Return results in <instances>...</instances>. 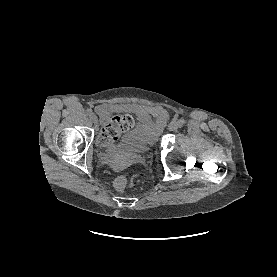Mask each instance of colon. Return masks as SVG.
<instances>
[{"mask_svg": "<svg viewBox=\"0 0 277 277\" xmlns=\"http://www.w3.org/2000/svg\"><path fill=\"white\" fill-rule=\"evenodd\" d=\"M133 126V118L130 115H120L112 117L107 124H105L98 136L99 146L110 149L113 147L115 141L122 133L127 132ZM114 187L120 192H124L130 188L129 179L126 176H120L115 179Z\"/></svg>", "mask_w": 277, "mask_h": 277, "instance_id": "obj_1", "label": "colon"}]
</instances>
